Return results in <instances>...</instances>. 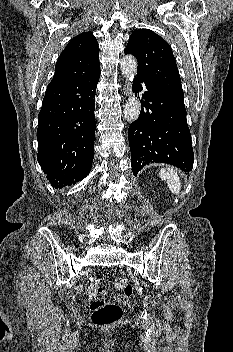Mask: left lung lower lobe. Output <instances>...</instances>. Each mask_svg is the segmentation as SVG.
<instances>
[{
	"label": "left lung lower lobe",
	"instance_id": "1",
	"mask_svg": "<svg viewBox=\"0 0 233 352\" xmlns=\"http://www.w3.org/2000/svg\"><path fill=\"white\" fill-rule=\"evenodd\" d=\"M145 91L141 112L128 129L134 175L149 163H167L191 171L194 162L184 100L135 77L132 89Z\"/></svg>",
	"mask_w": 233,
	"mask_h": 352
}]
</instances>
